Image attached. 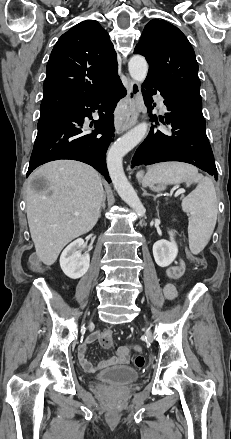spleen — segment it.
<instances>
[{"label": "spleen", "instance_id": "3e777b00", "mask_svg": "<svg viewBox=\"0 0 231 439\" xmlns=\"http://www.w3.org/2000/svg\"><path fill=\"white\" fill-rule=\"evenodd\" d=\"M180 184L197 187L182 201V210L189 214V247L193 254L200 253L210 240L217 220V196L209 177L198 173V169L187 163H162L151 167L143 186L153 183Z\"/></svg>", "mask_w": 231, "mask_h": 439}]
</instances>
